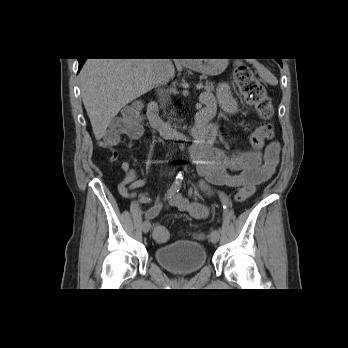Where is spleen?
I'll return each mask as SVG.
<instances>
[{
	"label": "spleen",
	"mask_w": 348,
	"mask_h": 348,
	"mask_svg": "<svg viewBox=\"0 0 348 348\" xmlns=\"http://www.w3.org/2000/svg\"><path fill=\"white\" fill-rule=\"evenodd\" d=\"M248 61L249 63L253 64V66L257 70V73L263 81L273 86L278 84V80L276 79V77L258 61H256L255 59H249Z\"/></svg>",
	"instance_id": "1"
}]
</instances>
